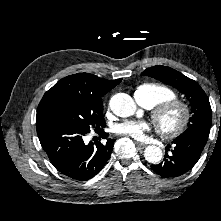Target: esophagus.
I'll return each mask as SVG.
<instances>
[{
	"instance_id": "obj_1",
	"label": "esophagus",
	"mask_w": 221,
	"mask_h": 221,
	"mask_svg": "<svg viewBox=\"0 0 221 221\" xmlns=\"http://www.w3.org/2000/svg\"><path fill=\"white\" fill-rule=\"evenodd\" d=\"M136 146L138 149H144L146 147V144L140 143V142H135Z\"/></svg>"
}]
</instances>
